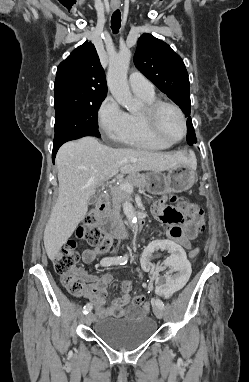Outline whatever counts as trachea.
I'll return each mask as SVG.
<instances>
[{
	"instance_id": "3493384b",
	"label": "trachea",
	"mask_w": 249,
	"mask_h": 382,
	"mask_svg": "<svg viewBox=\"0 0 249 382\" xmlns=\"http://www.w3.org/2000/svg\"><path fill=\"white\" fill-rule=\"evenodd\" d=\"M120 26H121V13L119 10H116L113 14H112V18H111V29L114 33H118L119 29H120Z\"/></svg>"
}]
</instances>
